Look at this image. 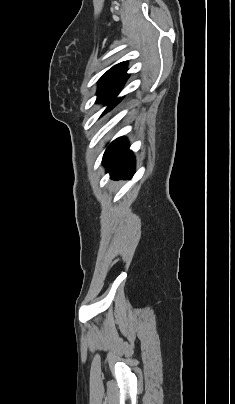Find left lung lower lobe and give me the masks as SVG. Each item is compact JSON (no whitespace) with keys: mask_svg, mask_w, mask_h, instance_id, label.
<instances>
[{"mask_svg":"<svg viewBox=\"0 0 235 404\" xmlns=\"http://www.w3.org/2000/svg\"><path fill=\"white\" fill-rule=\"evenodd\" d=\"M103 164L112 179H131L134 174L135 160L125 138L120 137L107 147Z\"/></svg>","mask_w":235,"mask_h":404,"instance_id":"left-lung-lower-lobe-1","label":"left lung lower lobe"}]
</instances>
